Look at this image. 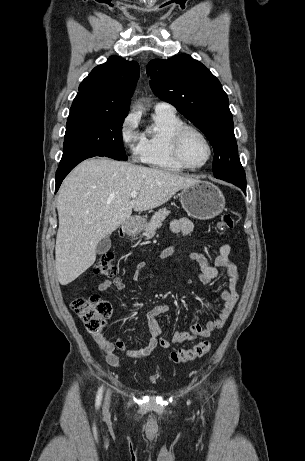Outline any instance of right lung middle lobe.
<instances>
[{"mask_svg":"<svg viewBox=\"0 0 305 461\" xmlns=\"http://www.w3.org/2000/svg\"><path fill=\"white\" fill-rule=\"evenodd\" d=\"M125 117L89 110H70L60 164L94 156L127 160L121 132Z\"/></svg>","mask_w":305,"mask_h":461,"instance_id":"obj_1","label":"right lung middle lobe"}]
</instances>
